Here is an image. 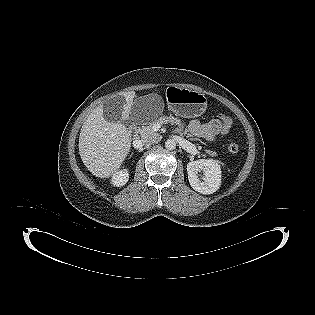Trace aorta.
Instances as JSON below:
<instances>
[{"label": "aorta", "mask_w": 315, "mask_h": 315, "mask_svg": "<svg viewBox=\"0 0 315 315\" xmlns=\"http://www.w3.org/2000/svg\"><path fill=\"white\" fill-rule=\"evenodd\" d=\"M165 148L168 149V150H173L176 148V142L175 140L173 139H168L166 142H165Z\"/></svg>", "instance_id": "obj_1"}]
</instances>
